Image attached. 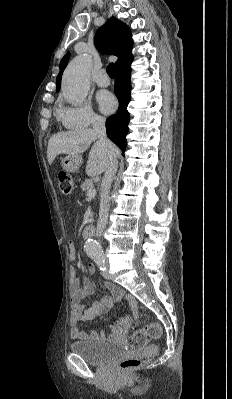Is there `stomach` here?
Wrapping results in <instances>:
<instances>
[{"mask_svg":"<svg viewBox=\"0 0 232 399\" xmlns=\"http://www.w3.org/2000/svg\"><path fill=\"white\" fill-rule=\"evenodd\" d=\"M83 160L79 154H73V156H66L62 158L61 166L65 172H77L79 170Z\"/></svg>","mask_w":232,"mask_h":399,"instance_id":"stomach-1","label":"stomach"}]
</instances>
